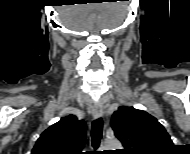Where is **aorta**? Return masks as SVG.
<instances>
[{
  "instance_id": "1",
  "label": "aorta",
  "mask_w": 190,
  "mask_h": 154,
  "mask_svg": "<svg viewBox=\"0 0 190 154\" xmlns=\"http://www.w3.org/2000/svg\"><path fill=\"white\" fill-rule=\"evenodd\" d=\"M120 148H121V143L118 139L105 140L101 145V149L103 150H116Z\"/></svg>"
}]
</instances>
